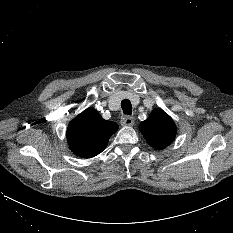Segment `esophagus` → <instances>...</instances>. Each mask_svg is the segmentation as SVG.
I'll return each instance as SVG.
<instances>
[{"label":"esophagus","instance_id":"esophagus-1","mask_svg":"<svg viewBox=\"0 0 233 233\" xmlns=\"http://www.w3.org/2000/svg\"><path fill=\"white\" fill-rule=\"evenodd\" d=\"M134 124V118L130 116H125L121 119L122 126H132Z\"/></svg>","mask_w":233,"mask_h":233}]
</instances>
